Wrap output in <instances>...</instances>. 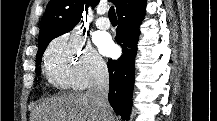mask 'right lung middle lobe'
<instances>
[{
  "instance_id": "obj_1",
  "label": "right lung middle lobe",
  "mask_w": 217,
  "mask_h": 121,
  "mask_svg": "<svg viewBox=\"0 0 217 121\" xmlns=\"http://www.w3.org/2000/svg\"><path fill=\"white\" fill-rule=\"evenodd\" d=\"M48 44H49V42L39 48V50L37 52V65H39L41 63L42 55H43ZM36 70H37V72H39L40 68L37 67Z\"/></svg>"
}]
</instances>
